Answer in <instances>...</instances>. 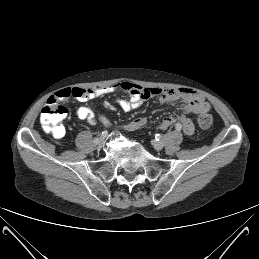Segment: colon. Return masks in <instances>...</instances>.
Listing matches in <instances>:
<instances>
[{"mask_svg": "<svg viewBox=\"0 0 259 259\" xmlns=\"http://www.w3.org/2000/svg\"><path fill=\"white\" fill-rule=\"evenodd\" d=\"M67 109L58 103V100L48 99L40 114V122L43 130L61 138L64 135L62 120L66 116ZM212 116L208 112H202L198 117V124L202 128H209L212 125Z\"/></svg>", "mask_w": 259, "mask_h": 259, "instance_id": "obj_1", "label": "colon"}]
</instances>
